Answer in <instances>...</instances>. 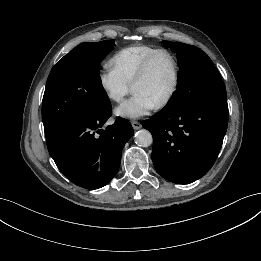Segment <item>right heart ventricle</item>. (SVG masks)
Wrapping results in <instances>:
<instances>
[{"label": "right heart ventricle", "instance_id": "e07e8e85", "mask_svg": "<svg viewBox=\"0 0 261 261\" xmlns=\"http://www.w3.org/2000/svg\"><path fill=\"white\" fill-rule=\"evenodd\" d=\"M158 47L146 44L131 45L117 51L109 60L110 68L131 84L142 62Z\"/></svg>", "mask_w": 261, "mask_h": 261}]
</instances>
